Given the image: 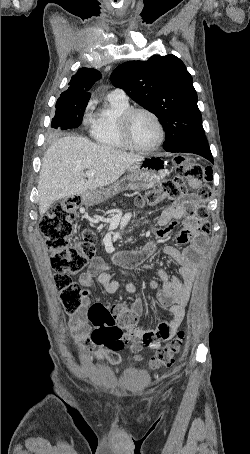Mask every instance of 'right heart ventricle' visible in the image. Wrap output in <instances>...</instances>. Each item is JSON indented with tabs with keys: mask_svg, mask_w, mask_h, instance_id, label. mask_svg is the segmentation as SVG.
Returning <instances> with one entry per match:
<instances>
[{
	"mask_svg": "<svg viewBox=\"0 0 250 454\" xmlns=\"http://www.w3.org/2000/svg\"><path fill=\"white\" fill-rule=\"evenodd\" d=\"M128 108V101L108 97L107 105L90 116V135L99 145L115 149L127 148L119 133L118 118Z\"/></svg>",
	"mask_w": 250,
	"mask_h": 454,
	"instance_id": "e07e8e85",
	"label": "right heart ventricle"
}]
</instances>
